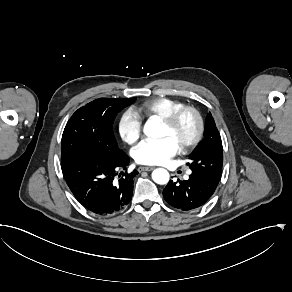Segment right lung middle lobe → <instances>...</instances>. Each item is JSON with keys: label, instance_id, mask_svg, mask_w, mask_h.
I'll return each instance as SVG.
<instances>
[{"label": "right lung middle lobe", "instance_id": "1", "mask_svg": "<svg viewBox=\"0 0 292 292\" xmlns=\"http://www.w3.org/2000/svg\"><path fill=\"white\" fill-rule=\"evenodd\" d=\"M131 99H96L79 108L67 122L61 142V153L84 152L107 159L124 153L113 133L116 115L131 105Z\"/></svg>", "mask_w": 292, "mask_h": 292}]
</instances>
